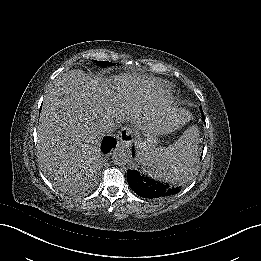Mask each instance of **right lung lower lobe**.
<instances>
[{
  "instance_id": "98d812e1",
  "label": "right lung lower lobe",
  "mask_w": 261,
  "mask_h": 261,
  "mask_svg": "<svg viewBox=\"0 0 261 261\" xmlns=\"http://www.w3.org/2000/svg\"><path fill=\"white\" fill-rule=\"evenodd\" d=\"M116 145V139L113 137H105L102 142V152L108 153Z\"/></svg>"
}]
</instances>
